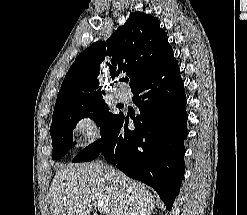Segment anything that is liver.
Returning a JSON list of instances; mask_svg holds the SVG:
<instances>
[{"label":"liver","mask_w":247,"mask_h":215,"mask_svg":"<svg viewBox=\"0 0 247 215\" xmlns=\"http://www.w3.org/2000/svg\"><path fill=\"white\" fill-rule=\"evenodd\" d=\"M50 215H88L103 201L106 215H151L153 195L143 184L101 162L62 167L50 187Z\"/></svg>","instance_id":"obj_1"}]
</instances>
